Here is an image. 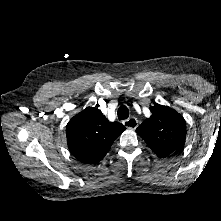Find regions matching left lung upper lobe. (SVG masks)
Returning <instances> with one entry per match:
<instances>
[{
    "instance_id": "5c2ea615",
    "label": "left lung upper lobe",
    "mask_w": 221,
    "mask_h": 221,
    "mask_svg": "<svg viewBox=\"0 0 221 221\" xmlns=\"http://www.w3.org/2000/svg\"><path fill=\"white\" fill-rule=\"evenodd\" d=\"M152 115L136 132L160 157L180 151L185 143L186 122L175 110L156 104L150 107Z\"/></svg>"
}]
</instances>
